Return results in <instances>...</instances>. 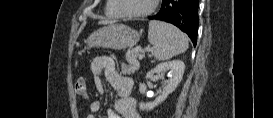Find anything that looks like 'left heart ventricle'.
<instances>
[{
	"instance_id": "b2bd125f",
	"label": "left heart ventricle",
	"mask_w": 273,
	"mask_h": 118,
	"mask_svg": "<svg viewBox=\"0 0 273 118\" xmlns=\"http://www.w3.org/2000/svg\"><path fill=\"white\" fill-rule=\"evenodd\" d=\"M124 8L129 13H139L147 10L152 0H122Z\"/></svg>"
}]
</instances>
